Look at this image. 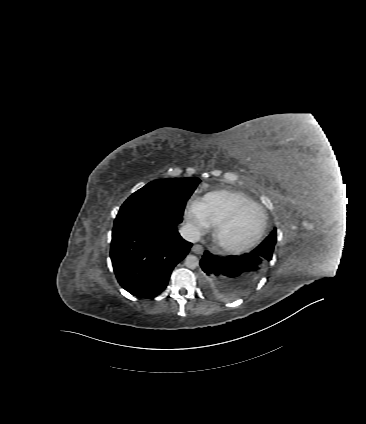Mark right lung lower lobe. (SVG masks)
I'll use <instances>...</instances> for the list:
<instances>
[{
	"instance_id": "obj_1",
	"label": "right lung lower lobe",
	"mask_w": 366,
	"mask_h": 424,
	"mask_svg": "<svg viewBox=\"0 0 366 424\" xmlns=\"http://www.w3.org/2000/svg\"><path fill=\"white\" fill-rule=\"evenodd\" d=\"M191 246L175 223L160 215L140 214L115 219L110 257L119 284L135 296L150 298L165 289Z\"/></svg>"
}]
</instances>
